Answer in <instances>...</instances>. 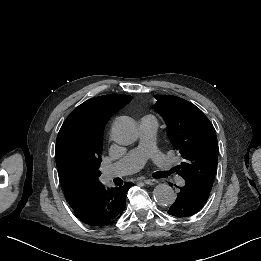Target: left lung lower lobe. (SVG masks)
Instances as JSON below:
<instances>
[{
  "label": "left lung lower lobe",
  "instance_id": "left-lung-lower-lobe-1",
  "mask_svg": "<svg viewBox=\"0 0 261 261\" xmlns=\"http://www.w3.org/2000/svg\"><path fill=\"white\" fill-rule=\"evenodd\" d=\"M183 179L184 185L179 187L176 201L168 210V214L179 218L190 217L199 212L209 198L212 188L194 177L184 176Z\"/></svg>",
  "mask_w": 261,
  "mask_h": 261
}]
</instances>
